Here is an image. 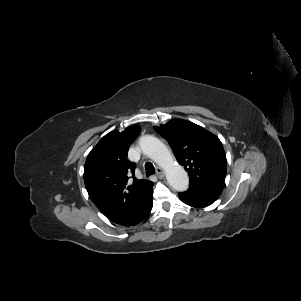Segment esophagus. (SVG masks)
Listing matches in <instances>:
<instances>
[{"mask_svg":"<svg viewBox=\"0 0 301 301\" xmlns=\"http://www.w3.org/2000/svg\"><path fill=\"white\" fill-rule=\"evenodd\" d=\"M156 175L159 177V178H162L164 176V171L162 168H157L156 170Z\"/></svg>","mask_w":301,"mask_h":301,"instance_id":"34e87169","label":"esophagus"}]
</instances>
